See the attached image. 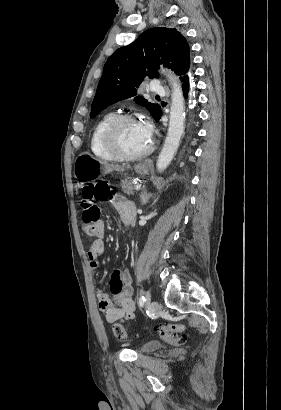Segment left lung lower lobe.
<instances>
[{
    "mask_svg": "<svg viewBox=\"0 0 281 410\" xmlns=\"http://www.w3.org/2000/svg\"><path fill=\"white\" fill-rule=\"evenodd\" d=\"M192 80H193V75L191 71L181 78L182 89H183V94L185 98H188V95L190 94V90L193 86ZM161 115H162V111L160 110L155 120L158 121Z\"/></svg>",
    "mask_w": 281,
    "mask_h": 410,
    "instance_id": "1",
    "label": "left lung lower lobe"
}]
</instances>
